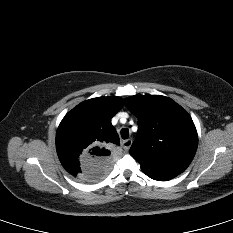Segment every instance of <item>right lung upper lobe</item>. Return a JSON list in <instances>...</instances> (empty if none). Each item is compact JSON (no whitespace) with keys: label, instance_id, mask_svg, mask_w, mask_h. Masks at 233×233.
I'll list each match as a JSON object with an SVG mask.
<instances>
[{"label":"right lung upper lobe","instance_id":"obj_1","mask_svg":"<svg viewBox=\"0 0 233 233\" xmlns=\"http://www.w3.org/2000/svg\"><path fill=\"white\" fill-rule=\"evenodd\" d=\"M123 105L120 97L86 100L68 112L57 129L61 164L77 179L91 183L106 178L119 158L120 139L111 118Z\"/></svg>","mask_w":233,"mask_h":233}]
</instances>
